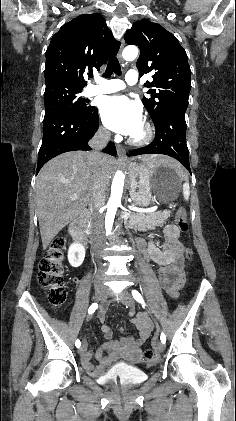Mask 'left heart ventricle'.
<instances>
[{
  "label": "left heart ventricle",
  "instance_id": "left-heart-ventricle-1",
  "mask_svg": "<svg viewBox=\"0 0 236 421\" xmlns=\"http://www.w3.org/2000/svg\"><path fill=\"white\" fill-rule=\"evenodd\" d=\"M142 132H143V126L139 129V131H137V133H135L134 135L135 136H139V135H141L142 134Z\"/></svg>",
  "mask_w": 236,
  "mask_h": 421
}]
</instances>
